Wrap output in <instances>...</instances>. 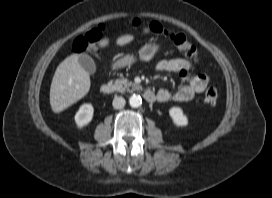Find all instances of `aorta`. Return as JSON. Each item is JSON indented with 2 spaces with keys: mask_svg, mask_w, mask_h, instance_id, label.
Returning a JSON list of instances; mask_svg holds the SVG:
<instances>
[{
  "mask_svg": "<svg viewBox=\"0 0 272 198\" xmlns=\"http://www.w3.org/2000/svg\"><path fill=\"white\" fill-rule=\"evenodd\" d=\"M129 104H130L131 107L137 108V107L141 106L142 98L139 95L133 94L129 98Z\"/></svg>",
  "mask_w": 272,
  "mask_h": 198,
  "instance_id": "1",
  "label": "aorta"
}]
</instances>
